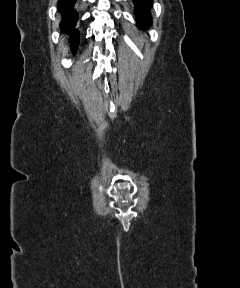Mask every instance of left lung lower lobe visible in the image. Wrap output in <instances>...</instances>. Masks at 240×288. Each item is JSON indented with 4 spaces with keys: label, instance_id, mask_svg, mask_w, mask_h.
Returning <instances> with one entry per match:
<instances>
[{
    "label": "left lung lower lobe",
    "instance_id": "1",
    "mask_svg": "<svg viewBox=\"0 0 240 288\" xmlns=\"http://www.w3.org/2000/svg\"><path fill=\"white\" fill-rule=\"evenodd\" d=\"M137 24L139 27L147 28L151 24L150 8L153 0H133Z\"/></svg>",
    "mask_w": 240,
    "mask_h": 288
}]
</instances>
